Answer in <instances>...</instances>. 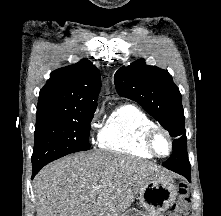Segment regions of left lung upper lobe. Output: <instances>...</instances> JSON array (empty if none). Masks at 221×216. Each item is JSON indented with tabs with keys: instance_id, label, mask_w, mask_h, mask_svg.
Segmentation results:
<instances>
[{
	"instance_id": "1",
	"label": "left lung upper lobe",
	"mask_w": 221,
	"mask_h": 216,
	"mask_svg": "<svg viewBox=\"0 0 221 216\" xmlns=\"http://www.w3.org/2000/svg\"><path fill=\"white\" fill-rule=\"evenodd\" d=\"M114 82L120 96L138 102L171 136L176 137L173 151L187 152L181 94L167 70L147 66L144 59H139L120 68L114 75ZM171 163L170 157L163 165Z\"/></svg>"
}]
</instances>
